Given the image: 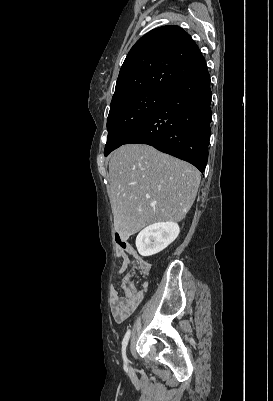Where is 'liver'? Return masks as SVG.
<instances>
[{"mask_svg": "<svg viewBox=\"0 0 273 401\" xmlns=\"http://www.w3.org/2000/svg\"><path fill=\"white\" fill-rule=\"evenodd\" d=\"M108 194L115 233L129 239L147 225L182 221L191 209L199 170L148 144H122L109 160Z\"/></svg>", "mask_w": 273, "mask_h": 401, "instance_id": "liver-1", "label": "liver"}]
</instances>
